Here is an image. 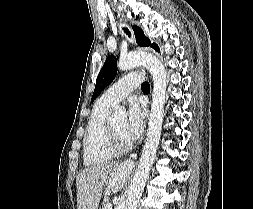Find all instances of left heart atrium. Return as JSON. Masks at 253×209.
Returning <instances> with one entry per match:
<instances>
[{
    "mask_svg": "<svg viewBox=\"0 0 253 209\" xmlns=\"http://www.w3.org/2000/svg\"><path fill=\"white\" fill-rule=\"evenodd\" d=\"M145 116L144 107L137 100L131 101L124 128V137L129 143L136 141L142 134Z\"/></svg>",
    "mask_w": 253,
    "mask_h": 209,
    "instance_id": "39dd6f15",
    "label": "left heart atrium"
}]
</instances>
